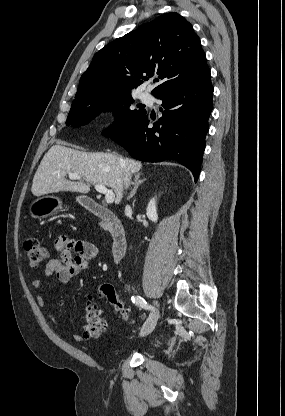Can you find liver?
<instances>
[{"instance_id":"obj_1","label":"liver","mask_w":285,"mask_h":416,"mask_svg":"<svg viewBox=\"0 0 285 416\" xmlns=\"http://www.w3.org/2000/svg\"><path fill=\"white\" fill-rule=\"evenodd\" d=\"M70 144H56L45 154L34 178L31 188L33 196H44L53 192H80L88 194L89 184L107 186L115 192V204H120L124 188V170L128 168L130 174H136L142 168L141 162L120 158L116 154H89L78 152L72 148H65ZM76 148V146H75ZM122 160V158H121ZM67 174H79L85 182H70Z\"/></svg>"}]
</instances>
